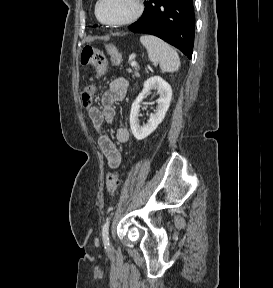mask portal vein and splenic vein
Returning <instances> with one entry per match:
<instances>
[{"label":"portal vein and splenic vein","instance_id":"portal-vein-and-splenic-vein-1","mask_svg":"<svg viewBox=\"0 0 273 288\" xmlns=\"http://www.w3.org/2000/svg\"><path fill=\"white\" fill-rule=\"evenodd\" d=\"M131 66L135 67V66H137V63L135 61H133V62H131Z\"/></svg>","mask_w":273,"mask_h":288}]
</instances>
